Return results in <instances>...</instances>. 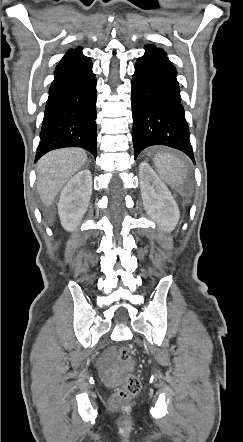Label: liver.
<instances>
[{
    "instance_id": "liver-1",
    "label": "liver",
    "mask_w": 243,
    "mask_h": 442,
    "mask_svg": "<svg viewBox=\"0 0 243 442\" xmlns=\"http://www.w3.org/2000/svg\"><path fill=\"white\" fill-rule=\"evenodd\" d=\"M83 149L64 148L51 151L37 163V191L49 207L68 180L87 162Z\"/></svg>"
}]
</instances>
